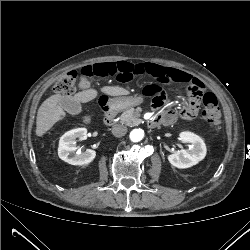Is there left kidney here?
Listing matches in <instances>:
<instances>
[{"mask_svg":"<svg viewBox=\"0 0 250 250\" xmlns=\"http://www.w3.org/2000/svg\"><path fill=\"white\" fill-rule=\"evenodd\" d=\"M178 139L182 142L190 143L189 149L168 155V161L171 165L179 169L192 167L202 161L206 156V145L203 139L189 131L179 134Z\"/></svg>","mask_w":250,"mask_h":250,"instance_id":"1","label":"left kidney"}]
</instances>
